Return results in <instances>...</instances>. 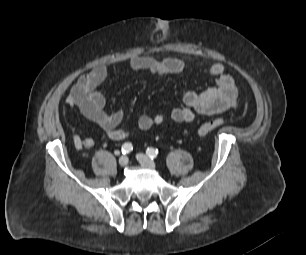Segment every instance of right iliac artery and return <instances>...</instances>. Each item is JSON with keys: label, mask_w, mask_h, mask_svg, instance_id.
<instances>
[{"label": "right iliac artery", "mask_w": 306, "mask_h": 255, "mask_svg": "<svg viewBox=\"0 0 306 255\" xmlns=\"http://www.w3.org/2000/svg\"><path fill=\"white\" fill-rule=\"evenodd\" d=\"M133 150V146L131 143L127 142L122 145L121 151L123 154H128Z\"/></svg>", "instance_id": "right-iliac-artery-1"}]
</instances>
